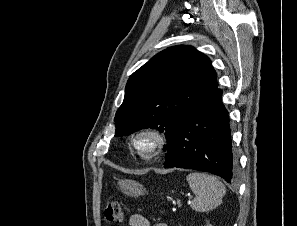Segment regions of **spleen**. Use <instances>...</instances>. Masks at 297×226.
I'll return each instance as SVG.
<instances>
[{"mask_svg": "<svg viewBox=\"0 0 297 226\" xmlns=\"http://www.w3.org/2000/svg\"><path fill=\"white\" fill-rule=\"evenodd\" d=\"M186 180L195 193V198L191 203L193 210L206 212L222 203L226 193L225 186L215 176L192 172L187 175Z\"/></svg>", "mask_w": 297, "mask_h": 226, "instance_id": "obj_1", "label": "spleen"}]
</instances>
